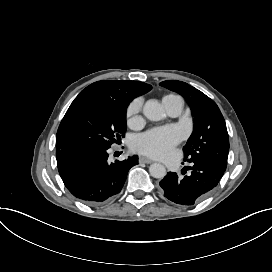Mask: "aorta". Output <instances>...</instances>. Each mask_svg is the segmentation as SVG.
I'll return each mask as SVG.
<instances>
[{"label": "aorta", "mask_w": 272, "mask_h": 272, "mask_svg": "<svg viewBox=\"0 0 272 272\" xmlns=\"http://www.w3.org/2000/svg\"><path fill=\"white\" fill-rule=\"evenodd\" d=\"M143 114L151 121H159L166 115L156 99H149L143 107ZM150 175L157 179H163L166 176V168L160 163H153L149 167Z\"/></svg>", "instance_id": "762f6f07"}]
</instances>
